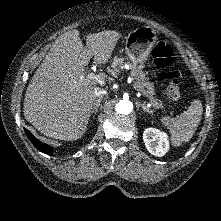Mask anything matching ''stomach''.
<instances>
[{
    "label": "stomach",
    "mask_w": 221,
    "mask_h": 221,
    "mask_svg": "<svg viewBox=\"0 0 221 221\" xmlns=\"http://www.w3.org/2000/svg\"><path fill=\"white\" fill-rule=\"evenodd\" d=\"M157 40L156 32L149 26H142L132 31L125 40L128 58L143 66Z\"/></svg>",
    "instance_id": "obj_1"
}]
</instances>
